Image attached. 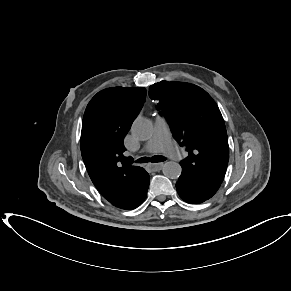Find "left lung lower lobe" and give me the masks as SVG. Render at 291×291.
Listing matches in <instances>:
<instances>
[{
	"label": "left lung lower lobe",
	"instance_id": "0a47b994",
	"mask_svg": "<svg viewBox=\"0 0 291 291\" xmlns=\"http://www.w3.org/2000/svg\"><path fill=\"white\" fill-rule=\"evenodd\" d=\"M179 196L187 203L199 204L210 199L219 189L198 176L182 171L176 183Z\"/></svg>",
	"mask_w": 291,
	"mask_h": 291
}]
</instances>
